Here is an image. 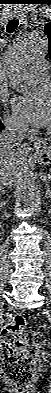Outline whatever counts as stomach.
Here are the masks:
<instances>
[{"label":"stomach","mask_w":51,"mask_h":393,"mask_svg":"<svg viewBox=\"0 0 51 393\" xmlns=\"http://www.w3.org/2000/svg\"><path fill=\"white\" fill-rule=\"evenodd\" d=\"M36 158L42 165H51V144H43L36 152Z\"/></svg>","instance_id":"stomach-1"}]
</instances>
